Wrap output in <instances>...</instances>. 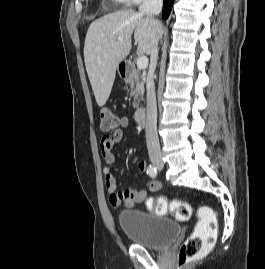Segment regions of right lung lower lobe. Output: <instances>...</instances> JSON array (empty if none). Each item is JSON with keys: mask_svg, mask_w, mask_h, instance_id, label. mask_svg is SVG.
<instances>
[{"mask_svg": "<svg viewBox=\"0 0 265 269\" xmlns=\"http://www.w3.org/2000/svg\"><path fill=\"white\" fill-rule=\"evenodd\" d=\"M174 3V0H164V6H163V11H162V15L164 19H167L170 11L172 9V5Z\"/></svg>", "mask_w": 265, "mask_h": 269, "instance_id": "1", "label": "right lung lower lobe"}]
</instances>
